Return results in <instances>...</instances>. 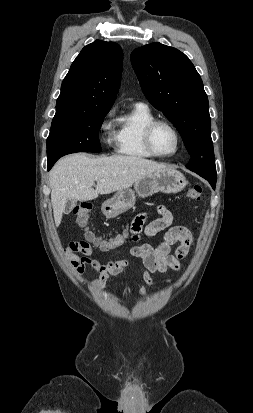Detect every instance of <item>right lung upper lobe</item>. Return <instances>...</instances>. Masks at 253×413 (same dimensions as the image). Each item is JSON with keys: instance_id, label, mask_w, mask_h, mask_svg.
Wrapping results in <instances>:
<instances>
[{"instance_id": "1", "label": "right lung upper lobe", "mask_w": 253, "mask_h": 413, "mask_svg": "<svg viewBox=\"0 0 253 413\" xmlns=\"http://www.w3.org/2000/svg\"><path fill=\"white\" fill-rule=\"evenodd\" d=\"M123 52L115 42L96 40L85 46L61 85L54 117L110 110L122 74Z\"/></svg>"}]
</instances>
